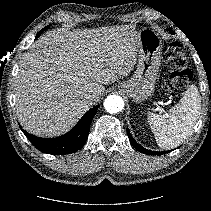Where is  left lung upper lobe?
Instances as JSON below:
<instances>
[{"label": "left lung upper lobe", "instance_id": "1", "mask_svg": "<svg viewBox=\"0 0 211 211\" xmlns=\"http://www.w3.org/2000/svg\"><path fill=\"white\" fill-rule=\"evenodd\" d=\"M170 32H171L172 34H174V32H173L172 30H170Z\"/></svg>", "mask_w": 211, "mask_h": 211}]
</instances>
